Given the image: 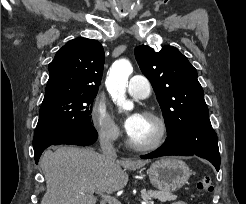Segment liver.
<instances>
[{
  "mask_svg": "<svg viewBox=\"0 0 246 204\" xmlns=\"http://www.w3.org/2000/svg\"><path fill=\"white\" fill-rule=\"evenodd\" d=\"M148 160H107L92 149L61 146L47 150L41 168L47 190L41 204H96L94 192L111 194L128 183L126 170H136Z\"/></svg>",
  "mask_w": 246,
  "mask_h": 204,
  "instance_id": "6515ba94",
  "label": "liver"
}]
</instances>
